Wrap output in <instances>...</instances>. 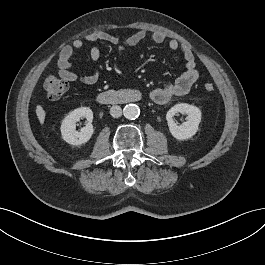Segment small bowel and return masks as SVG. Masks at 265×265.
Segmentation results:
<instances>
[{"label":"small bowel","instance_id":"c3829d8e","mask_svg":"<svg viewBox=\"0 0 265 265\" xmlns=\"http://www.w3.org/2000/svg\"><path fill=\"white\" fill-rule=\"evenodd\" d=\"M147 37L156 44L167 42L171 51L180 52L185 61V71L176 78L173 82L163 84L154 88L151 91V99L159 105L170 103L175 97L187 94L194 83L199 79V71L196 67L195 56L188 45L181 44L175 39L167 40V37L162 32H154L148 35L146 30H138L125 40L114 34L98 31L85 36V40L91 43L107 42L117 45L118 53L121 57H125L129 48L135 47ZM84 43L80 39L74 40L70 45L65 46L58 58L57 73L58 75L69 82H77L83 85H93L98 82L100 74L95 70L91 74L80 75L72 70V57L74 52L82 49ZM89 56L92 62H98L101 58V50L97 45L90 48Z\"/></svg>","mask_w":265,"mask_h":265}]
</instances>
